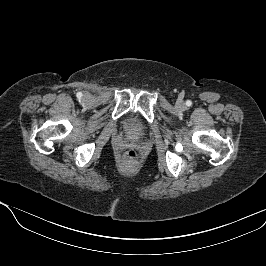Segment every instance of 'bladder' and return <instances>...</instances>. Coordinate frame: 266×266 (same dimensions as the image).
Returning <instances> with one entry per match:
<instances>
[{
    "instance_id": "obj_1",
    "label": "bladder",
    "mask_w": 266,
    "mask_h": 266,
    "mask_svg": "<svg viewBox=\"0 0 266 266\" xmlns=\"http://www.w3.org/2000/svg\"><path fill=\"white\" fill-rule=\"evenodd\" d=\"M126 128L133 135H140L143 132L141 122L134 116H130L126 120Z\"/></svg>"
}]
</instances>
